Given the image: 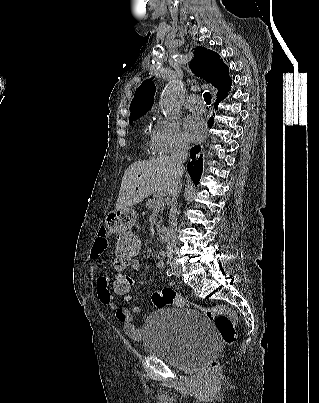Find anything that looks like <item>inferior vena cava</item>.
<instances>
[{
	"label": "inferior vena cava",
	"instance_id": "1",
	"mask_svg": "<svg viewBox=\"0 0 319 403\" xmlns=\"http://www.w3.org/2000/svg\"><path fill=\"white\" fill-rule=\"evenodd\" d=\"M189 150V143L185 140H178L174 151L170 158L172 165L175 169V178L171 189L169 190V196H171V209L169 215L170 230L167 240V250H174L176 247V231H177V198L179 192L180 175L182 172L183 163L187 160Z\"/></svg>",
	"mask_w": 319,
	"mask_h": 403
}]
</instances>
